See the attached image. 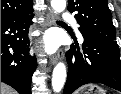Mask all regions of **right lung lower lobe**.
Returning <instances> with one entry per match:
<instances>
[{"instance_id":"obj_1","label":"right lung lower lobe","mask_w":121,"mask_h":94,"mask_svg":"<svg viewBox=\"0 0 121 94\" xmlns=\"http://www.w3.org/2000/svg\"><path fill=\"white\" fill-rule=\"evenodd\" d=\"M33 16L32 8L1 19V82L20 94H31V78L36 69V57L28 54V29Z\"/></svg>"}]
</instances>
